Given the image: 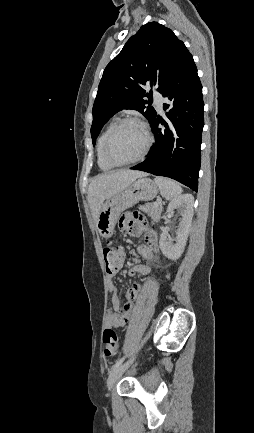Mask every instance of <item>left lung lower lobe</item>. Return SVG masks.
Masks as SVG:
<instances>
[{"instance_id":"obj_1","label":"left lung lower lobe","mask_w":254,"mask_h":433,"mask_svg":"<svg viewBox=\"0 0 254 433\" xmlns=\"http://www.w3.org/2000/svg\"><path fill=\"white\" fill-rule=\"evenodd\" d=\"M161 94L169 100L163 105L164 110L168 109L167 119L156 114L150 123L155 144L146 160L131 169L172 178L197 192L204 103L202 85L189 51ZM159 123L164 128H159Z\"/></svg>"}]
</instances>
